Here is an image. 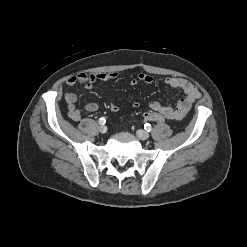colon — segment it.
Segmentation results:
<instances>
[{"label":"colon","instance_id":"obj_1","mask_svg":"<svg viewBox=\"0 0 247 247\" xmlns=\"http://www.w3.org/2000/svg\"><path fill=\"white\" fill-rule=\"evenodd\" d=\"M144 118L157 123H162L166 120V117L162 113L153 110L145 112Z\"/></svg>","mask_w":247,"mask_h":247}]
</instances>
